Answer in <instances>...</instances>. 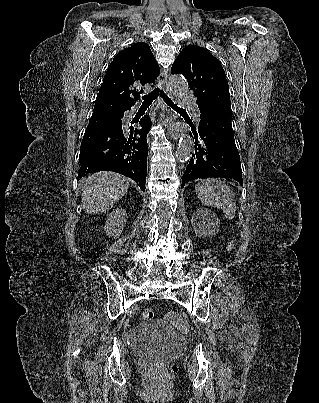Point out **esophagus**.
<instances>
[{
    "label": "esophagus",
    "instance_id": "1",
    "mask_svg": "<svg viewBox=\"0 0 319 403\" xmlns=\"http://www.w3.org/2000/svg\"><path fill=\"white\" fill-rule=\"evenodd\" d=\"M167 78H168V75H167L166 71H162L158 77L160 87L163 90H165L166 92H168ZM165 112L168 113L167 108L165 109ZM167 129H168V133L171 136V138L174 140H178V138L180 136L179 131L175 127H173L171 124L167 125Z\"/></svg>",
    "mask_w": 319,
    "mask_h": 403
}]
</instances>
